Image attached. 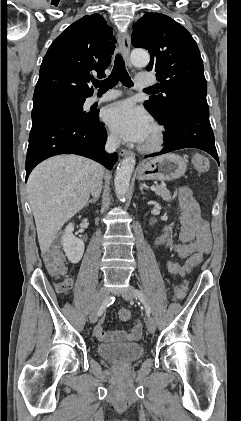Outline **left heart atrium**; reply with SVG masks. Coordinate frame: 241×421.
I'll return each mask as SVG.
<instances>
[{
    "instance_id": "obj_1",
    "label": "left heart atrium",
    "mask_w": 241,
    "mask_h": 421,
    "mask_svg": "<svg viewBox=\"0 0 241 421\" xmlns=\"http://www.w3.org/2000/svg\"><path fill=\"white\" fill-rule=\"evenodd\" d=\"M103 118L115 134L128 142H143L152 127L148 114L131 100L110 105L104 111Z\"/></svg>"
}]
</instances>
